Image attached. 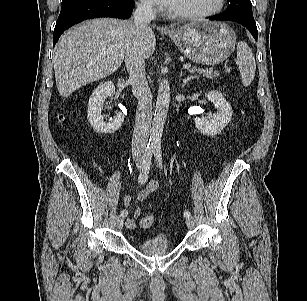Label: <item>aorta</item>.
I'll return each instance as SVG.
<instances>
[{
  "mask_svg": "<svg viewBox=\"0 0 307 301\" xmlns=\"http://www.w3.org/2000/svg\"><path fill=\"white\" fill-rule=\"evenodd\" d=\"M170 103V86L167 79H163L159 83L155 114L153 118L152 128L150 131L149 146L151 148H159L161 146V138L163 134L164 124Z\"/></svg>",
  "mask_w": 307,
  "mask_h": 301,
  "instance_id": "1",
  "label": "aorta"
}]
</instances>
